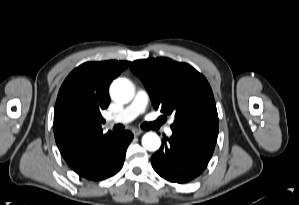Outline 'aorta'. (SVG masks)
<instances>
[{
    "label": "aorta",
    "instance_id": "762f6f07",
    "mask_svg": "<svg viewBox=\"0 0 299 205\" xmlns=\"http://www.w3.org/2000/svg\"><path fill=\"white\" fill-rule=\"evenodd\" d=\"M110 94L115 101L128 103L133 98L134 89L129 80L120 78L111 84ZM142 145L148 151H156L161 146V140L157 134L149 132L142 137Z\"/></svg>",
    "mask_w": 299,
    "mask_h": 205
}]
</instances>
